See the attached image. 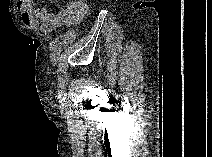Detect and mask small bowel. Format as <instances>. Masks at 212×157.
I'll return each mask as SVG.
<instances>
[{
	"instance_id": "c3829d8e",
	"label": "small bowel",
	"mask_w": 212,
	"mask_h": 157,
	"mask_svg": "<svg viewBox=\"0 0 212 157\" xmlns=\"http://www.w3.org/2000/svg\"><path fill=\"white\" fill-rule=\"evenodd\" d=\"M20 19L25 25L37 24L44 33H51L56 27L74 25L88 13L87 5L82 1H68L58 12L47 7H33L30 1L18 2Z\"/></svg>"
}]
</instances>
